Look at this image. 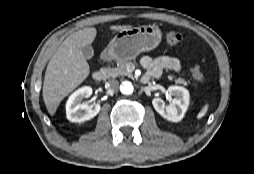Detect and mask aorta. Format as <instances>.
Here are the masks:
<instances>
[{
    "instance_id": "762f6f07",
    "label": "aorta",
    "mask_w": 254,
    "mask_h": 174,
    "mask_svg": "<svg viewBox=\"0 0 254 174\" xmlns=\"http://www.w3.org/2000/svg\"><path fill=\"white\" fill-rule=\"evenodd\" d=\"M120 91L124 95H130L133 93L134 87H133L132 83L125 81L121 84Z\"/></svg>"
}]
</instances>
